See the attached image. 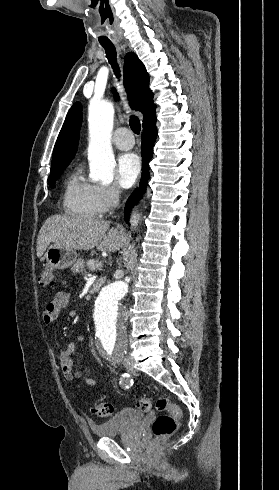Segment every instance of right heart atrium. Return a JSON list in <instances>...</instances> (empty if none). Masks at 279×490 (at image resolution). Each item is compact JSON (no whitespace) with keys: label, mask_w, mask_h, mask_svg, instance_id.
Segmentation results:
<instances>
[{"label":"right heart atrium","mask_w":279,"mask_h":490,"mask_svg":"<svg viewBox=\"0 0 279 490\" xmlns=\"http://www.w3.org/2000/svg\"><path fill=\"white\" fill-rule=\"evenodd\" d=\"M92 204L97 216L106 215L120 198V189L115 184L91 185Z\"/></svg>","instance_id":"d8ad5b80"}]
</instances>
